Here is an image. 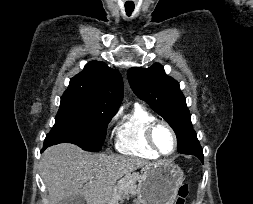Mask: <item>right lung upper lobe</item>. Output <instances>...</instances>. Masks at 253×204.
<instances>
[{
	"mask_svg": "<svg viewBox=\"0 0 253 204\" xmlns=\"http://www.w3.org/2000/svg\"><path fill=\"white\" fill-rule=\"evenodd\" d=\"M64 94L117 112L123 98V81L120 73L104 62L91 61L84 70L70 79Z\"/></svg>",
	"mask_w": 253,
	"mask_h": 204,
	"instance_id": "cb5924a9",
	"label": "right lung upper lobe"
}]
</instances>
